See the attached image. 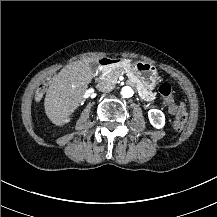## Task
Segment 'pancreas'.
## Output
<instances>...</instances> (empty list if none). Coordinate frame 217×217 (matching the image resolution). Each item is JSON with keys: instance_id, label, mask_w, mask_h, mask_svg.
Masks as SVG:
<instances>
[{"instance_id": "obj_1", "label": "pancreas", "mask_w": 217, "mask_h": 217, "mask_svg": "<svg viewBox=\"0 0 217 217\" xmlns=\"http://www.w3.org/2000/svg\"><path fill=\"white\" fill-rule=\"evenodd\" d=\"M122 64L123 63H121V65L118 64L117 66L119 65L122 66ZM124 64H128V63H124ZM126 66L129 67V64ZM124 67H119L118 69L112 72H109V71H104V72L107 73V76L109 77V79H111L113 82H116L120 75V72L124 70ZM126 73H127V77L129 81L138 89V93L141 95V97L144 100L155 102L158 99V96L153 91H149L148 89H145L143 87L142 81L135 75L133 69H129V68L126 69Z\"/></svg>"}]
</instances>
